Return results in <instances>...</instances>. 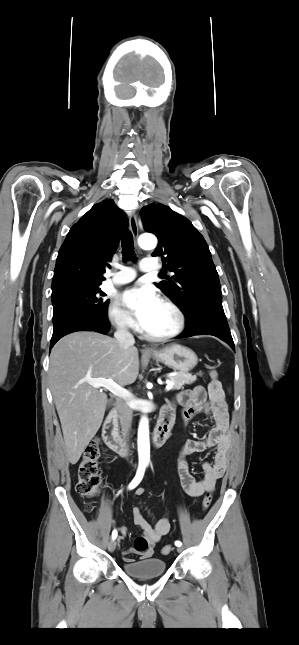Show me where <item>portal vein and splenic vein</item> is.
<instances>
[{
  "instance_id": "portal-vein-and-splenic-vein-1",
  "label": "portal vein and splenic vein",
  "mask_w": 299,
  "mask_h": 645,
  "mask_svg": "<svg viewBox=\"0 0 299 645\" xmlns=\"http://www.w3.org/2000/svg\"><path fill=\"white\" fill-rule=\"evenodd\" d=\"M87 382L94 388H101V387L105 388L117 397H120L123 399H127L131 397V393L129 391H127L123 387L116 384L111 378H108V379L94 378V379H88ZM173 384H174L173 381L168 382L165 390L166 391L171 390L173 387Z\"/></svg>"
}]
</instances>
